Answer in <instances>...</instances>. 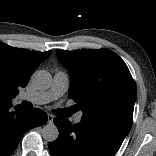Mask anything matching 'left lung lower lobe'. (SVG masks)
<instances>
[{"instance_id":"obj_1","label":"left lung lower lobe","mask_w":156,"mask_h":156,"mask_svg":"<svg viewBox=\"0 0 156 156\" xmlns=\"http://www.w3.org/2000/svg\"><path fill=\"white\" fill-rule=\"evenodd\" d=\"M58 138L49 144L51 156H114L128 133L103 123L79 122L54 118Z\"/></svg>"}]
</instances>
